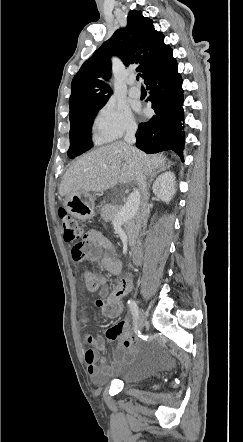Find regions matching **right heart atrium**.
Segmentation results:
<instances>
[{"label":"right heart atrium","mask_w":243,"mask_h":442,"mask_svg":"<svg viewBox=\"0 0 243 442\" xmlns=\"http://www.w3.org/2000/svg\"><path fill=\"white\" fill-rule=\"evenodd\" d=\"M137 129L130 109L114 101L106 102L97 112L93 123L96 137L103 142H114L133 134Z\"/></svg>","instance_id":"1"}]
</instances>
